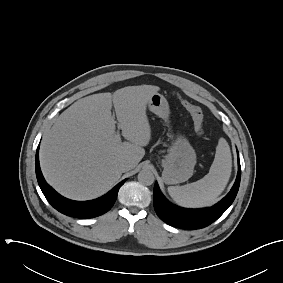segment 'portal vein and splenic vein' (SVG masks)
<instances>
[{
    "mask_svg": "<svg viewBox=\"0 0 283 283\" xmlns=\"http://www.w3.org/2000/svg\"><path fill=\"white\" fill-rule=\"evenodd\" d=\"M116 138H117V139H120V134H119V132L116 133Z\"/></svg>",
    "mask_w": 283,
    "mask_h": 283,
    "instance_id": "18ae733b",
    "label": "portal vein and splenic vein"
}]
</instances>
